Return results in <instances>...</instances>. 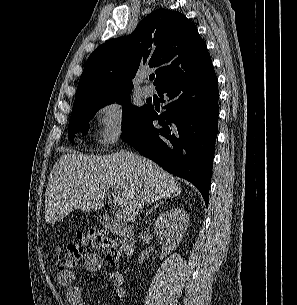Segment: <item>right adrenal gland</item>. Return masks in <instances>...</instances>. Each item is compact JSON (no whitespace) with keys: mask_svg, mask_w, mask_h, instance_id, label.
I'll return each mask as SVG.
<instances>
[{"mask_svg":"<svg viewBox=\"0 0 297 305\" xmlns=\"http://www.w3.org/2000/svg\"><path fill=\"white\" fill-rule=\"evenodd\" d=\"M161 204H163V200H160L159 202H156V204L153 207H151L150 210L146 213L145 217L150 215L153 212V210L158 208Z\"/></svg>","mask_w":297,"mask_h":305,"instance_id":"obj_1","label":"right adrenal gland"}]
</instances>
